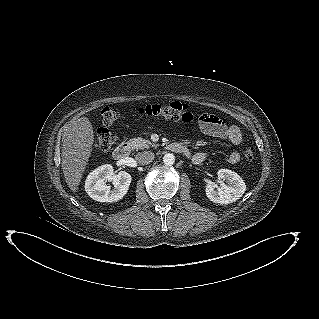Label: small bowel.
<instances>
[{
    "instance_id": "small-bowel-1",
    "label": "small bowel",
    "mask_w": 319,
    "mask_h": 319,
    "mask_svg": "<svg viewBox=\"0 0 319 319\" xmlns=\"http://www.w3.org/2000/svg\"><path fill=\"white\" fill-rule=\"evenodd\" d=\"M200 128L202 131L210 136L226 140L233 145H240L242 143V132L234 125L225 124L220 118L215 115L205 114V117L200 120ZM188 155L191 157L193 164L199 165L208 158L207 152L191 153L188 150ZM240 160V153L236 150L232 151L228 156V162L235 164Z\"/></svg>"
}]
</instances>
